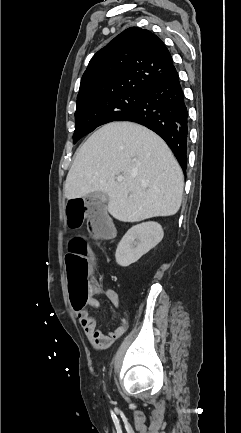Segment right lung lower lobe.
Instances as JSON below:
<instances>
[{"instance_id":"obj_1","label":"right lung lower lobe","mask_w":241,"mask_h":433,"mask_svg":"<svg viewBox=\"0 0 241 433\" xmlns=\"http://www.w3.org/2000/svg\"><path fill=\"white\" fill-rule=\"evenodd\" d=\"M119 121L136 122L157 133L171 148L183 171H186L188 111L177 71L148 85L139 106Z\"/></svg>"}]
</instances>
